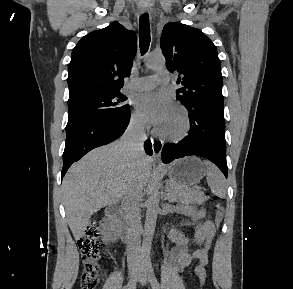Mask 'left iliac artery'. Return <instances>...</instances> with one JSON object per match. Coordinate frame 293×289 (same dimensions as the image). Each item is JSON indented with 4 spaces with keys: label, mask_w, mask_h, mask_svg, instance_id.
I'll return each mask as SVG.
<instances>
[{
    "label": "left iliac artery",
    "mask_w": 293,
    "mask_h": 289,
    "mask_svg": "<svg viewBox=\"0 0 293 289\" xmlns=\"http://www.w3.org/2000/svg\"><path fill=\"white\" fill-rule=\"evenodd\" d=\"M146 271L148 275L149 282L151 284L152 289H160V285L155 277V273L152 267V262L150 258L145 260Z\"/></svg>",
    "instance_id": "left-iliac-artery-1"
}]
</instances>
